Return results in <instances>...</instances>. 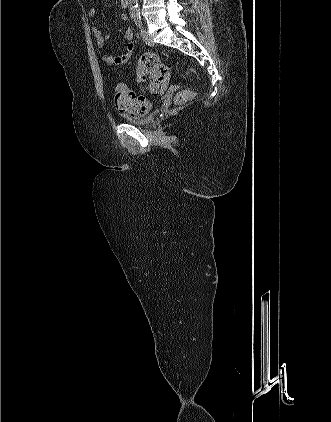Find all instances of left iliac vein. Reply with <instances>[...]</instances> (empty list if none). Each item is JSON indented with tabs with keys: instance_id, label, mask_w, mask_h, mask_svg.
<instances>
[{
	"instance_id": "1",
	"label": "left iliac vein",
	"mask_w": 331,
	"mask_h": 422,
	"mask_svg": "<svg viewBox=\"0 0 331 422\" xmlns=\"http://www.w3.org/2000/svg\"><path fill=\"white\" fill-rule=\"evenodd\" d=\"M141 36H142V39L145 42V44H147L148 46H153L154 45L153 40L151 39L150 35L148 34V32H147V30L145 28H143L141 30Z\"/></svg>"
}]
</instances>
